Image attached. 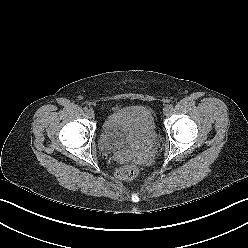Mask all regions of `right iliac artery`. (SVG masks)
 Masks as SVG:
<instances>
[{"mask_svg":"<svg viewBox=\"0 0 248 248\" xmlns=\"http://www.w3.org/2000/svg\"><path fill=\"white\" fill-rule=\"evenodd\" d=\"M83 110H84L85 112H87V111H88V108H87V107H84Z\"/></svg>","mask_w":248,"mask_h":248,"instance_id":"obj_1","label":"right iliac artery"}]
</instances>
